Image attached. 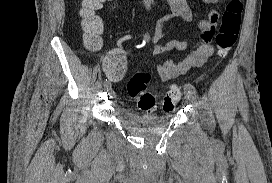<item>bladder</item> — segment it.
<instances>
[{
    "label": "bladder",
    "instance_id": "obj_1",
    "mask_svg": "<svg viewBox=\"0 0 272 183\" xmlns=\"http://www.w3.org/2000/svg\"><path fill=\"white\" fill-rule=\"evenodd\" d=\"M172 115H153V114H138L132 111H124L121 119L129 128L144 131L154 132L165 129L170 121Z\"/></svg>",
    "mask_w": 272,
    "mask_h": 183
}]
</instances>
